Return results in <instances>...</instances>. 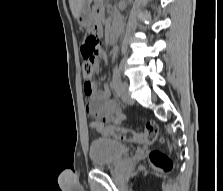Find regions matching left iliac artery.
I'll use <instances>...</instances> for the list:
<instances>
[{
  "mask_svg": "<svg viewBox=\"0 0 223 191\" xmlns=\"http://www.w3.org/2000/svg\"><path fill=\"white\" fill-rule=\"evenodd\" d=\"M120 83H121V77H120V74H119V70L118 68L116 67L114 69V74H113V85H114V88L117 92V94L119 95V86H120Z\"/></svg>",
  "mask_w": 223,
  "mask_h": 191,
  "instance_id": "obj_1",
  "label": "left iliac artery"
}]
</instances>
